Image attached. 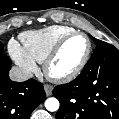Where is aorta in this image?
<instances>
[{
	"label": "aorta",
	"instance_id": "762f6f07",
	"mask_svg": "<svg viewBox=\"0 0 119 119\" xmlns=\"http://www.w3.org/2000/svg\"><path fill=\"white\" fill-rule=\"evenodd\" d=\"M45 107L48 111H57L59 109V101L54 97L48 98L45 101Z\"/></svg>",
	"mask_w": 119,
	"mask_h": 119
}]
</instances>
